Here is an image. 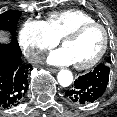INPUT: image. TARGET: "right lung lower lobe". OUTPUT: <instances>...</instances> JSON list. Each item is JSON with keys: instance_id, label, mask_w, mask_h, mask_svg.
Segmentation results:
<instances>
[{"instance_id": "obj_1", "label": "right lung lower lobe", "mask_w": 117, "mask_h": 117, "mask_svg": "<svg viewBox=\"0 0 117 117\" xmlns=\"http://www.w3.org/2000/svg\"><path fill=\"white\" fill-rule=\"evenodd\" d=\"M30 64L21 60V50L15 39L0 43V109L18 105L28 89Z\"/></svg>"}]
</instances>
